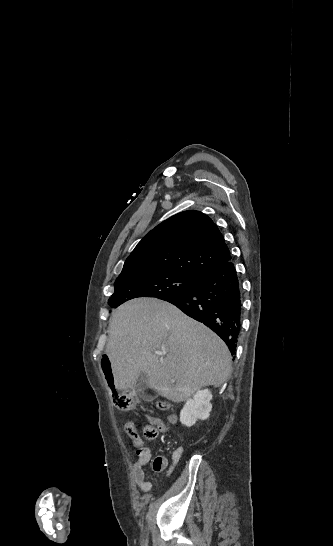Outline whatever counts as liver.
<instances>
[{
	"label": "liver",
	"instance_id": "6515ba94",
	"mask_svg": "<svg viewBox=\"0 0 333 546\" xmlns=\"http://www.w3.org/2000/svg\"><path fill=\"white\" fill-rule=\"evenodd\" d=\"M106 355L116 390H134L145 373L148 386L173 402L205 386L219 387L231 374L229 349L214 332L154 298L133 299L115 310Z\"/></svg>",
	"mask_w": 333,
	"mask_h": 546
}]
</instances>
